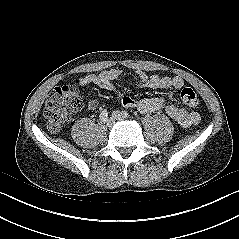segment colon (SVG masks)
Here are the masks:
<instances>
[{
	"label": "colon",
	"instance_id": "5ec220e1",
	"mask_svg": "<svg viewBox=\"0 0 239 239\" xmlns=\"http://www.w3.org/2000/svg\"><path fill=\"white\" fill-rule=\"evenodd\" d=\"M180 97L189 108H196L199 104L198 96L191 87H184L180 92ZM81 106L82 101L73 85L56 87L50 93L43 109L48 129L54 133L60 132L72 114Z\"/></svg>",
	"mask_w": 239,
	"mask_h": 239
}]
</instances>
